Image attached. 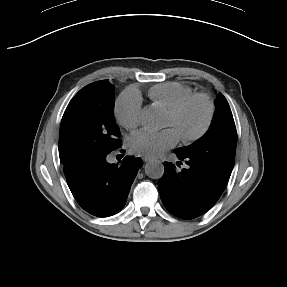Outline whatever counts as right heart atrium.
<instances>
[{
  "label": "right heart atrium",
  "instance_id": "right-heart-atrium-1",
  "mask_svg": "<svg viewBox=\"0 0 287 287\" xmlns=\"http://www.w3.org/2000/svg\"><path fill=\"white\" fill-rule=\"evenodd\" d=\"M115 115L128 130H135L142 122V102L136 91H127L119 96L115 104Z\"/></svg>",
  "mask_w": 287,
  "mask_h": 287
}]
</instances>
